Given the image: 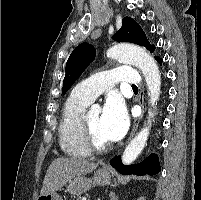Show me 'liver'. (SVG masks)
<instances>
[{
    "label": "liver",
    "mask_w": 201,
    "mask_h": 200,
    "mask_svg": "<svg viewBox=\"0 0 201 200\" xmlns=\"http://www.w3.org/2000/svg\"><path fill=\"white\" fill-rule=\"evenodd\" d=\"M98 164L82 158H56L50 164L44 177L40 195L61 189L76 176L85 175L97 168Z\"/></svg>",
    "instance_id": "obj_1"
}]
</instances>
